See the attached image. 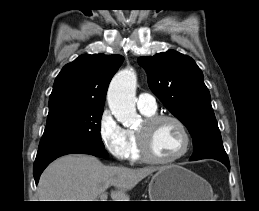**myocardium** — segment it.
Segmentation results:
<instances>
[{"instance_id":"1","label":"myocardium","mask_w":259,"mask_h":211,"mask_svg":"<svg viewBox=\"0 0 259 211\" xmlns=\"http://www.w3.org/2000/svg\"><path fill=\"white\" fill-rule=\"evenodd\" d=\"M162 121H171L175 123L178 126L184 139V144L181 151L171 158H158L152 154L149 148L146 130L157 125ZM143 124V130H138L136 132L138 149L142 160L154 164H170L178 161L187 154L191 145V138L186 125L180 118L172 114H154L146 117L143 121Z\"/></svg>"}]
</instances>
